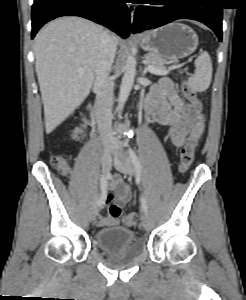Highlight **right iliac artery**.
<instances>
[{
	"instance_id": "1",
	"label": "right iliac artery",
	"mask_w": 246,
	"mask_h": 300,
	"mask_svg": "<svg viewBox=\"0 0 246 300\" xmlns=\"http://www.w3.org/2000/svg\"><path fill=\"white\" fill-rule=\"evenodd\" d=\"M100 190H101V194L97 201V204H98V206L101 207L104 203V199H105L106 192H107V179L104 175L100 178Z\"/></svg>"
}]
</instances>
